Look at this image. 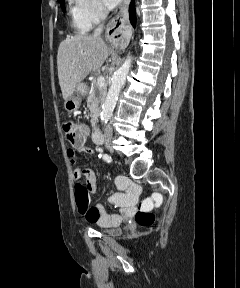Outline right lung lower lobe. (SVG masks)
I'll return each mask as SVG.
<instances>
[{"mask_svg": "<svg viewBox=\"0 0 240 288\" xmlns=\"http://www.w3.org/2000/svg\"><path fill=\"white\" fill-rule=\"evenodd\" d=\"M129 11H130V21L131 24L133 26H135V22H136V14H135V4H134V0H132L130 7H129Z\"/></svg>", "mask_w": 240, "mask_h": 288, "instance_id": "obj_1", "label": "right lung lower lobe"}]
</instances>
